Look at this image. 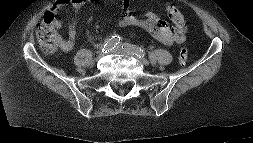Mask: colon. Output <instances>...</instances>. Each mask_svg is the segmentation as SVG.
<instances>
[{
	"label": "colon",
	"instance_id": "obj_1",
	"mask_svg": "<svg viewBox=\"0 0 253 143\" xmlns=\"http://www.w3.org/2000/svg\"><path fill=\"white\" fill-rule=\"evenodd\" d=\"M175 18L179 27H183L181 17L175 12ZM36 36L41 49L46 53L54 52L61 43L60 36L54 26V15L51 12L45 13L42 22L37 28ZM189 51L187 47L180 50L179 61L185 64L188 60Z\"/></svg>",
	"mask_w": 253,
	"mask_h": 143
}]
</instances>
